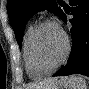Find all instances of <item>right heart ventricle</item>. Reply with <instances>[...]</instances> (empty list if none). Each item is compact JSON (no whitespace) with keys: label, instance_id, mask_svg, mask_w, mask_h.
<instances>
[{"label":"right heart ventricle","instance_id":"obj_1","mask_svg":"<svg viewBox=\"0 0 89 89\" xmlns=\"http://www.w3.org/2000/svg\"><path fill=\"white\" fill-rule=\"evenodd\" d=\"M34 29L35 25L30 24L25 31L24 41H23V58L27 74L32 78H40L46 74L36 69L30 55V38Z\"/></svg>","mask_w":89,"mask_h":89}]
</instances>
